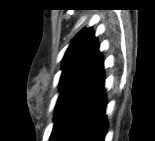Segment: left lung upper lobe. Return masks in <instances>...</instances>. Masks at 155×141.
I'll return each instance as SVG.
<instances>
[{
  "label": "left lung upper lobe",
  "mask_w": 155,
  "mask_h": 141,
  "mask_svg": "<svg viewBox=\"0 0 155 141\" xmlns=\"http://www.w3.org/2000/svg\"><path fill=\"white\" fill-rule=\"evenodd\" d=\"M102 62L103 57L94 32L91 28H84L72 40L63 58L52 141L58 140L66 113L88 86Z\"/></svg>",
  "instance_id": "obj_1"
}]
</instances>
